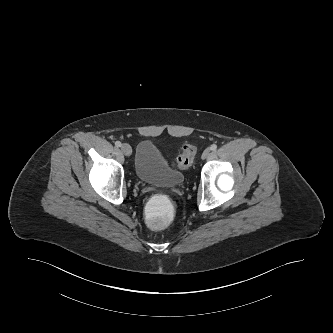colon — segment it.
Masks as SVG:
<instances>
[{"instance_id": "5ec220e1", "label": "colon", "mask_w": 333, "mask_h": 333, "mask_svg": "<svg viewBox=\"0 0 333 333\" xmlns=\"http://www.w3.org/2000/svg\"><path fill=\"white\" fill-rule=\"evenodd\" d=\"M195 147L186 144L182 148V153L176 159V166L180 169H187L194 160ZM175 212L171 206L169 198L165 195H155L148 201L144 208V220L146 225L155 231L167 229L174 218Z\"/></svg>"}]
</instances>
